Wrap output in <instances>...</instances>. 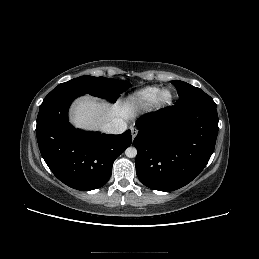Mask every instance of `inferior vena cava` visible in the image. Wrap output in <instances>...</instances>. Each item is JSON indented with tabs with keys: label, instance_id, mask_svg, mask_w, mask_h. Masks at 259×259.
Here are the masks:
<instances>
[{
	"label": "inferior vena cava",
	"instance_id": "1",
	"mask_svg": "<svg viewBox=\"0 0 259 259\" xmlns=\"http://www.w3.org/2000/svg\"><path fill=\"white\" fill-rule=\"evenodd\" d=\"M127 129V124L122 119H114L102 126V131L108 134H121Z\"/></svg>",
	"mask_w": 259,
	"mask_h": 259
}]
</instances>
